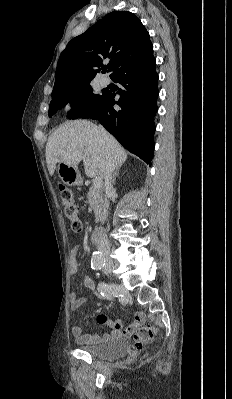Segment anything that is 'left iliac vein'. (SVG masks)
Segmentation results:
<instances>
[{
    "instance_id": "left-iliac-vein-1",
    "label": "left iliac vein",
    "mask_w": 232,
    "mask_h": 399,
    "mask_svg": "<svg viewBox=\"0 0 232 399\" xmlns=\"http://www.w3.org/2000/svg\"><path fill=\"white\" fill-rule=\"evenodd\" d=\"M103 272H104L105 275H108L109 274V269L108 268H103Z\"/></svg>"
}]
</instances>
